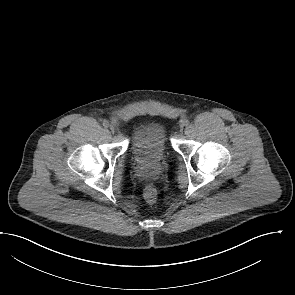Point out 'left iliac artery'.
<instances>
[{
    "label": "left iliac artery",
    "mask_w": 295,
    "mask_h": 295,
    "mask_svg": "<svg viewBox=\"0 0 295 295\" xmlns=\"http://www.w3.org/2000/svg\"><path fill=\"white\" fill-rule=\"evenodd\" d=\"M189 123H190V122H189V120H187V119L183 121V124H184L185 126L189 125Z\"/></svg>",
    "instance_id": "1"
}]
</instances>
